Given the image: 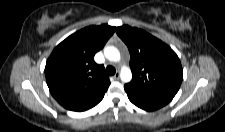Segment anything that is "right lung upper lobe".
I'll return each mask as SVG.
<instances>
[{"mask_svg":"<svg viewBox=\"0 0 225 132\" xmlns=\"http://www.w3.org/2000/svg\"><path fill=\"white\" fill-rule=\"evenodd\" d=\"M109 25L89 26L67 37L55 47L45 66L52 96L64 108L85 111L97 105L110 85L104 66L94 61L114 33Z\"/></svg>","mask_w":225,"mask_h":132,"instance_id":"1","label":"right lung upper lobe"}]
</instances>
